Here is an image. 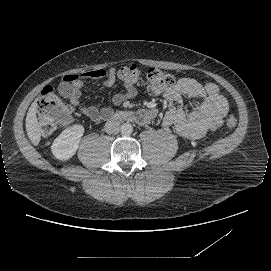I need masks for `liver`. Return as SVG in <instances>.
<instances>
[{
	"instance_id": "liver-1",
	"label": "liver",
	"mask_w": 271,
	"mask_h": 271,
	"mask_svg": "<svg viewBox=\"0 0 271 271\" xmlns=\"http://www.w3.org/2000/svg\"><path fill=\"white\" fill-rule=\"evenodd\" d=\"M37 99L31 104L28 109L25 126L27 135L34 146H37L41 140V127L37 119Z\"/></svg>"
}]
</instances>
